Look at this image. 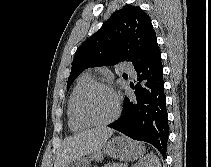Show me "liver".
<instances>
[{"mask_svg":"<svg viewBox=\"0 0 211 167\" xmlns=\"http://www.w3.org/2000/svg\"><path fill=\"white\" fill-rule=\"evenodd\" d=\"M113 133V129L98 127L66 138L58 150L54 167H62L78 157L100 151Z\"/></svg>","mask_w":211,"mask_h":167,"instance_id":"obj_1","label":"liver"}]
</instances>
